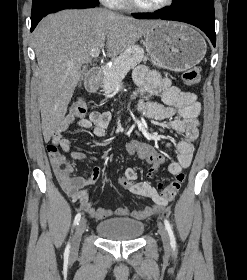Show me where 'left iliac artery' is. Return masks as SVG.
Here are the masks:
<instances>
[{
	"label": "left iliac artery",
	"instance_id": "obj_1",
	"mask_svg": "<svg viewBox=\"0 0 247 280\" xmlns=\"http://www.w3.org/2000/svg\"><path fill=\"white\" fill-rule=\"evenodd\" d=\"M165 228L168 231L170 237V245L175 250L176 249V239L173 233L172 227L167 219H164Z\"/></svg>",
	"mask_w": 247,
	"mask_h": 280
}]
</instances>
